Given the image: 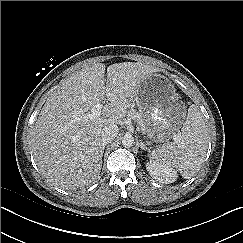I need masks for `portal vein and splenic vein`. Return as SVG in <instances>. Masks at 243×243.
Here are the masks:
<instances>
[{"label": "portal vein and splenic vein", "mask_w": 243, "mask_h": 243, "mask_svg": "<svg viewBox=\"0 0 243 243\" xmlns=\"http://www.w3.org/2000/svg\"><path fill=\"white\" fill-rule=\"evenodd\" d=\"M103 108V105L101 103L96 104L91 108V112L87 115L88 118L94 119L101 115V110Z\"/></svg>", "instance_id": "1"}]
</instances>
